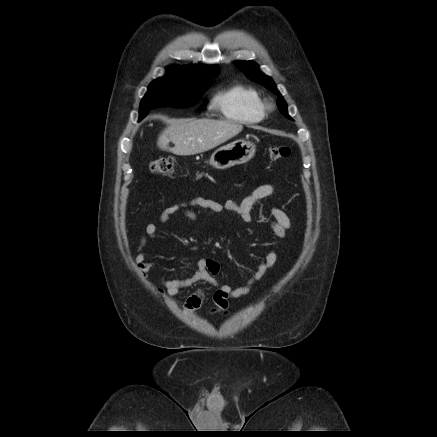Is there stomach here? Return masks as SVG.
I'll return each instance as SVG.
<instances>
[{"mask_svg":"<svg viewBox=\"0 0 437 437\" xmlns=\"http://www.w3.org/2000/svg\"><path fill=\"white\" fill-rule=\"evenodd\" d=\"M256 146L246 140H237L221 146L213 152L209 164L217 169H226L246 163L254 157Z\"/></svg>","mask_w":437,"mask_h":437,"instance_id":"stomach-1","label":"stomach"}]
</instances>
